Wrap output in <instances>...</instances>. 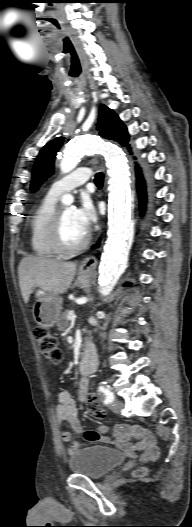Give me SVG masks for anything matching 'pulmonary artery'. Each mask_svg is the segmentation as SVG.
<instances>
[{"label":"pulmonary artery","instance_id":"e3ab8cb5","mask_svg":"<svg viewBox=\"0 0 192 527\" xmlns=\"http://www.w3.org/2000/svg\"><path fill=\"white\" fill-rule=\"evenodd\" d=\"M91 174V170L87 167L78 168L69 175L54 182L51 185L48 194L57 198L62 194L83 185L91 177Z\"/></svg>","mask_w":192,"mask_h":527}]
</instances>
